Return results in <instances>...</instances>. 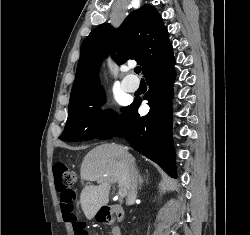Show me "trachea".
Instances as JSON below:
<instances>
[{
    "label": "trachea",
    "mask_w": 250,
    "mask_h": 235,
    "mask_svg": "<svg viewBox=\"0 0 250 235\" xmlns=\"http://www.w3.org/2000/svg\"><path fill=\"white\" fill-rule=\"evenodd\" d=\"M134 71H135V73H140L141 72V67H135Z\"/></svg>",
    "instance_id": "3493384b"
}]
</instances>
